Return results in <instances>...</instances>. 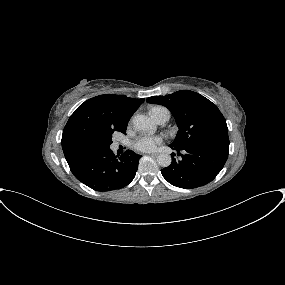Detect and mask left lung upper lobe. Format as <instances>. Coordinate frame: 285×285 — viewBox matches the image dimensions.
<instances>
[{"instance_id":"1","label":"left lung upper lobe","mask_w":285,"mask_h":285,"mask_svg":"<svg viewBox=\"0 0 285 285\" xmlns=\"http://www.w3.org/2000/svg\"><path fill=\"white\" fill-rule=\"evenodd\" d=\"M147 102L167 107L176 119L179 131L170 147L184 149L200 144L229 148L226 120L217 106L204 96L180 90L166 96H153Z\"/></svg>"}]
</instances>
